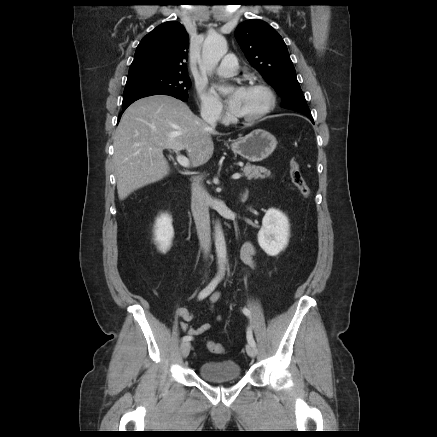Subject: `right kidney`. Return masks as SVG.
Here are the masks:
<instances>
[{
  "label": "right kidney",
  "mask_w": 437,
  "mask_h": 437,
  "mask_svg": "<svg viewBox=\"0 0 437 437\" xmlns=\"http://www.w3.org/2000/svg\"><path fill=\"white\" fill-rule=\"evenodd\" d=\"M173 236L174 229L171 216L162 214L157 218L154 229V240L158 245L159 251L166 253L170 249Z\"/></svg>",
  "instance_id": "right-kidney-1"
}]
</instances>
